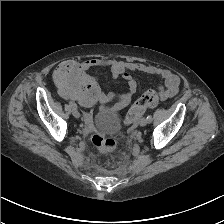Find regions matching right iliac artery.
Masks as SVG:
<instances>
[{
  "instance_id": "right-iliac-artery-1",
  "label": "right iliac artery",
  "mask_w": 224,
  "mask_h": 224,
  "mask_svg": "<svg viewBox=\"0 0 224 224\" xmlns=\"http://www.w3.org/2000/svg\"><path fill=\"white\" fill-rule=\"evenodd\" d=\"M69 105L72 109H77V105L74 102H70Z\"/></svg>"
}]
</instances>
